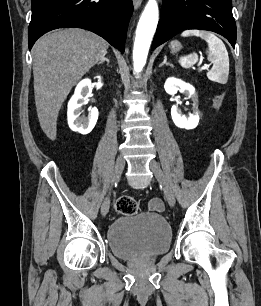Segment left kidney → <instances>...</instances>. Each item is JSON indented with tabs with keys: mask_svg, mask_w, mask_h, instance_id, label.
I'll use <instances>...</instances> for the list:
<instances>
[{
	"mask_svg": "<svg viewBox=\"0 0 261 306\" xmlns=\"http://www.w3.org/2000/svg\"><path fill=\"white\" fill-rule=\"evenodd\" d=\"M164 88L169 95H175L180 91L193 98V113L189 116L183 115L180 109L173 105L171 108V116L174 124L179 128L186 130L196 128L199 123L200 113L198 111V99L195 94V88L191 84L176 78H168Z\"/></svg>",
	"mask_w": 261,
	"mask_h": 306,
	"instance_id": "left-kidney-1",
	"label": "left kidney"
}]
</instances>
